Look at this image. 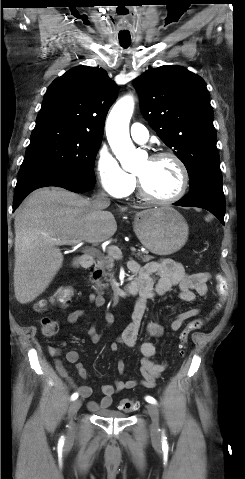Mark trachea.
Wrapping results in <instances>:
<instances>
[{
    "label": "trachea",
    "mask_w": 245,
    "mask_h": 479,
    "mask_svg": "<svg viewBox=\"0 0 245 479\" xmlns=\"http://www.w3.org/2000/svg\"><path fill=\"white\" fill-rule=\"evenodd\" d=\"M122 47L127 48L130 45V41H120Z\"/></svg>",
    "instance_id": "3493384b"
}]
</instances>
